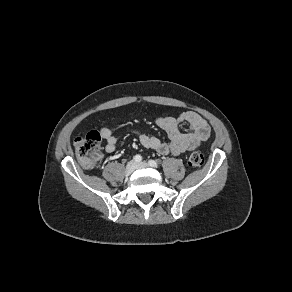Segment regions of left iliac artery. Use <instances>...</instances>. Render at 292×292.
Masks as SVG:
<instances>
[{"instance_id":"left-iliac-artery-1","label":"left iliac artery","mask_w":292,"mask_h":292,"mask_svg":"<svg viewBox=\"0 0 292 292\" xmlns=\"http://www.w3.org/2000/svg\"><path fill=\"white\" fill-rule=\"evenodd\" d=\"M148 163H149V165L152 166V167H155V168L158 167V163H157L156 161H154V160H149Z\"/></svg>"}]
</instances>
